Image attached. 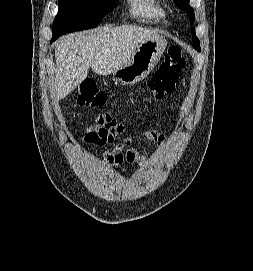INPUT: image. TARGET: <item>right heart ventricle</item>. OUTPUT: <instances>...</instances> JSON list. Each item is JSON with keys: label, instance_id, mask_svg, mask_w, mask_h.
<instances>
[{"label": "right heart ventricle", "instance_id": "right-heart-ventricle-1", "mask_svg": "<svg viewBox=\"0 0 253 271\" xmlns=\"http://www.w3.org/2000/svg\"><path fill=\"white\" fill-rule=\"evenodd\" d=\"M131 12L150 23L160 24L166 19V11L159 0H128Z\"/></svg>", "mask_w": 253, "mask_h": 271}]
</instances>
